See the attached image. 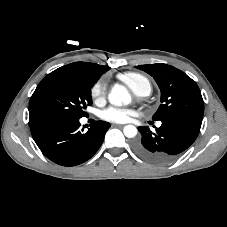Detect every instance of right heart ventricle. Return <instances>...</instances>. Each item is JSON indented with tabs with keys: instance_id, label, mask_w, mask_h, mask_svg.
<instances>
[{
	"instance_id": "right-heart-ventricle-1",
	"label": "right heart ventricle",
	"mask_w": 227,
	"mask_h": 227,
	"mask_svg": "<svg viewBox=\"0 0 227 227\" xmlns=\"http://www.w3.org/2000/svg\"><path fill=\"white\" fill-rule=\"evenodd\" d=\"M118 77L137 95L145 96L152 90V85L149 79L140 73L125 72L120 74Z\"/></svg>"
}]
</instances>
